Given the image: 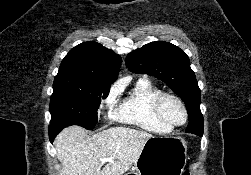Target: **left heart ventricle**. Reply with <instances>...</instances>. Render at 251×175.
<instances>
[{
    "label": "left heart ventricle",
    "mask_w": 251,
    "mask_h": 175,
    "mask_svg": "<svg viewBox=\"0 0 251 175\" xmlns=\"http://www.w3.org/2000/svg\"><path fill=\"white\" fill-rule=\"evenodd\" d=\"M161 112L172 125L178 126L185 121L184 108L175 98L166 97L161 103Z\"/></svg>",
    "instance_id": "b2bd125f"
}]
</instances>
